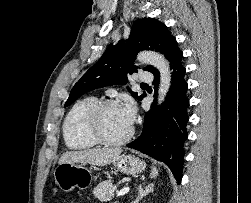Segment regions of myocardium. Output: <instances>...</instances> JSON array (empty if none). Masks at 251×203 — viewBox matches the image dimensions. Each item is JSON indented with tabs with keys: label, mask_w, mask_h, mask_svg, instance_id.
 I'll return each instance as SVG.
<instances>
[{
	"label": "myocardium",
	"mask_w": 251,
	"mask_h": 203,
	"mask_svg": "<svg viewBox=\"0 0 251 203\" xmlns=\"http://www.w3.org/2000/svg\"><path fill=\"white\" fill-rule=\"evenodd\" d=\"M111 106H119V104L117 101L111 99L96 102L87 113L85 130L86 133L99 144L106 146H118L125 144L132 138L134 128L131 126L129 132L119 139H111L105 136L101 128V118L103 112Z\"/></svg>",
	"instance_id": "1"
}]
</instances>
